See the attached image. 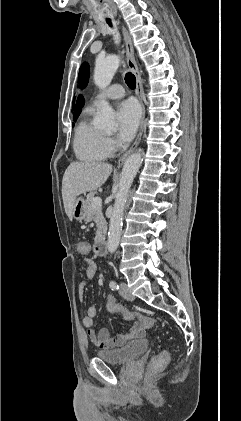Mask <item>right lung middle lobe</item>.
Wrapping results in <instances>:
<instances>
[{
	"instance_id": "obj_1",
	"label": "right lung middle lobe",
	"mask_w": 241,
	"mask_h": 421,
	"mask_svg": "<svg viewBox=\"0 0 241 421\" xmlns=\"http://www.w3.org/2000/svg\"><path fill=\"white\" fill-rule=\"evenodd\" d=\"M77 120V118H74V121H76ZM72 125H74V124H72Z\"/></svg>"
}]
</instances>
